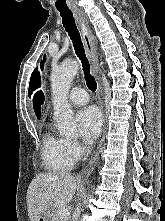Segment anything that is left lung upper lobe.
Returning a JSON list of instances; mask_svg holds the SVG:
<instances>
[{"label":"left lung upper lobe","mask_w":165,"mask_h":221,"mask_svg":"<svg viewBox=\"0 0 165 221\" xmlns=\"http://www.w3.org/2000/svg\"><path fill=\"white\" fill-rule=\"evenodd\" d=\"M45 59L46 58L44 56V60L41 62L42 68H43V62L45 61ZM43 101H44V97H43L42 92H38L33 99V107H34V111L38 119L41 117V105Z\"/></svg>","instance_id":"1"}]
</instances>
